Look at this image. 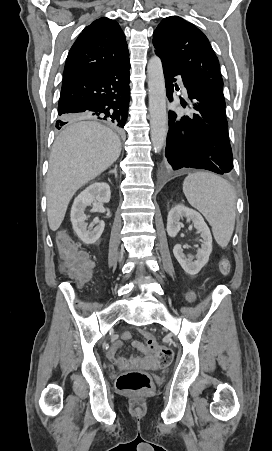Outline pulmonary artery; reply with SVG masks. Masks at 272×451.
I'll list each match as a JSON object with an SVG mask.
<instances>
[{
	"mask_svg": "<svg viewBox=\"0 0 272 451\" xmlns=\"http://www.w3.org/2000/svg\"><path fill=\"white\" fill-rule=\"evenodd\" d=\"M179 90L181 91V93H182V95H183V97H184L185 100L188 101V100L191 99L192 96H191L189 90L186 89V87H185L184 85H181V86L179 87Z\"/></svg>",
	"mask_w": 272,
	"mask_h": 451,
	"instance_id": "e3ab8cb5",
	"label": "pulmonary artery"
}]
</instances>
